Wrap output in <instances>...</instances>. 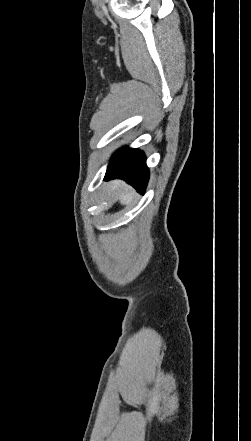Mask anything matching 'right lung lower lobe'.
Returning a JSON list of instances; mask_svg holds the SVG:
<instances>
[{"instance_id":"1","label":"right lung lower lobe","mask_w":251,"mask_h":441,"mask_svg":"<svg viewBox=\"0 0 251 441\" xmlns=\"http://www.w3.org/2000/svg\"><path fill=\"white\" fill-rule=\"evenodd\" d=\"M114 178L126 180L143 194L149 178L144 153L131 148H122L115 153L110 160L104 179Z\"/></svg>"}]
</instances>
